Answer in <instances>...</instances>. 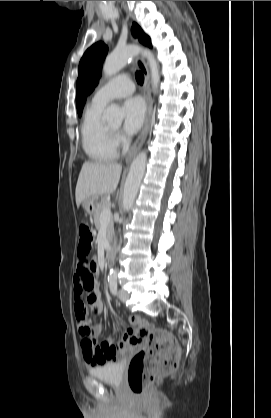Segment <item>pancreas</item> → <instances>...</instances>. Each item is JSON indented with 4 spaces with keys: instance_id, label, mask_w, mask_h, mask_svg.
I'll list each match as a JSON object with an SVG mask.
<instances>
[{
    "instance_id": "pancreas-1",
    "label": "pancreas",
    "mask_w": 271,
    "mask_h": 418,
    "mask_svg": "<svg viewBox=\"0 0 271 418\" xmlns=\"http://www.w3.org/2000/svg\"><path fill=\"white\" fill-rule=\"evenodd\" d=\"M109 207V201L107 200V198L103 197L97 207V209L95 210L93 216H94V223H95V227L97 229H99L102 225L101 221H100V216L101 213L103 212V210H105L106 208ZM113 234V222L109 221L107 224V239L110 240Z\"/></svg>"
}]
</instances>
